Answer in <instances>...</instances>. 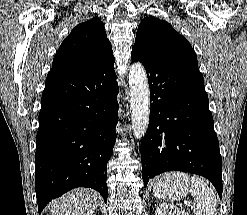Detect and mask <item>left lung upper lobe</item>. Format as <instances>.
Instances as JSON below:
<instances>
[{
	"instance_id": "left-lung-upper-lobe-1",
	"label": "left lung upper lobe",
	"mask_w": 247,
	"mask_h": 215,
	"mask_svg": "<svg viewBox=\"0 0 247 215\" xmlns=\"http://www.w3.org/2000/svg\"><path fill=\"white\" fill-rule=\"evenodd\" d=\"M132 50L164 64L199 71L197 56L186 38L168 22L152 16L141 21Z\"/></svg>"
}]
</instances>
